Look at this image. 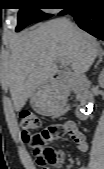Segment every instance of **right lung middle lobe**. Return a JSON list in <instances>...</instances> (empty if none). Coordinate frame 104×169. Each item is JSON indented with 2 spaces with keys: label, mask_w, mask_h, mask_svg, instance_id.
<instances>
[{
  "label": "right lung middle lobe",
  "mask_w": 104,
  "mask_h": 169,
  "mask_svg": "<svg viewBox=\"0 0 104 169\" xmlns=\"http://www.w3.org/2000/svg\"><path fill=\"white\" fill-rule=\"evenodd\" d=\"M20 6L18 13V25L16 31H20L26 26L52 17V14H46L40 10L41 0H16ZM65 4H72L77 0H63Z\"/></svg>",
  "instance_id": "dd1d6c3e"
}]
</instances>
